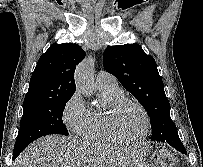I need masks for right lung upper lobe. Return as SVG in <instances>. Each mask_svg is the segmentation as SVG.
I'll list each match as a JSON object with an SVG mask.
<instances>
[{
  "instance_id": "right-lung-upper-lobe-1",
  "label": "right lung upper lobe",
  "mask_w": 203,
  "mask_h": 167,
  "mask_svg": "<svg viewBox=\"0 0 203 167\" xmlns=\"http://www.w3.org/2000/svg\"><path fill=\"white\" fill-rule=\"evenodd\" d=\"M84 57L78 44H52L38 60L24 102L72 96L74 71Z\"/></svg>"
}]
</instances>
